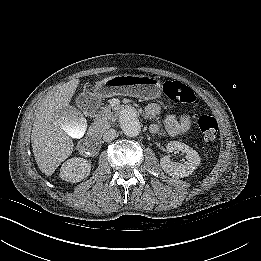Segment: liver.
I'll return each mask as SVG.
<instances>
[{
  "instance_id": "1",
  "label": "liver",
  "mask_w": 261,
  "mask_h": 261,
  "mask_svg": "<svg viewBox=\"0 0 261 261\" xmlns=\"http://www.w3.org/2000/svg\"><path fill=\"white\" fill-rule=\"evenodd\" d=\"M79 82L78 79H73L58 86L50 91L37 107L31 143L36 163L46 176L52 175L73 151V142L65 125L68 118L65 117L64 110L69 107ZM72 115L74 120L71 125H74L75 129H81L84 123L82 114L73 108Z\"/></svg>"
}]
</instances>
